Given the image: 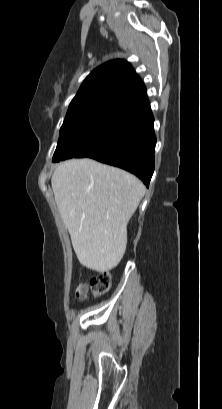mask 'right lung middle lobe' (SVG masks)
<instances>
[{
    "mask_svg": "<svg viewBox=\"0 0 222 409\" xmlns=\"http://www.w3.org/2000/svg\"><path fill=\"white\" fill-rule=\"evenodd\" d=\"M126 110L121 105L69 109L60 129L53 162L85 157L97 149L115 119Z\"/></svg>",
    "mask_w": 222,
    "mask_h": 409,
    "instance_id": "1",
    "label": "right lung middle lobe"
}]
</instances>
